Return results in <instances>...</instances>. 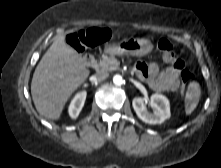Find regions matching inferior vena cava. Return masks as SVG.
Wrapping results in <instances>:
<instances>
[{
	"instance_id": "1",
	"label": "inferior vena cava",
	"mask_w": 221,
	"mask_h": 168,
	"mask_svg": "<svg viewBox=\"0 0 221 168\" xmlns=\"http://www.w3.org/2000/svg\"><path fill=\"white\" fill-rule=\"evenodd\" d=\"M109 74L107 72H98L95 74V78L97 81H103L108 78Z\"/></svg>"
}]
</instances>
